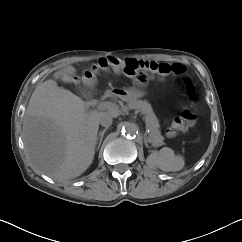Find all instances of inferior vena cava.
<instances>
[{"mask_svg": "<svg viewBox=\"0 0 242 242\" xmlns=\"http://www.w3.org/2000/svg\"><path fill=\"white\" fill-rule=\"evenodd\" d=\"M113 117L108 112H104L100 115L99 122L103 127H109L112 124Z\"/></svg>", "mask_w": 242, "mask_h": 242, "instance_id": "inferior-vena-cava-1", "label": "inferior vena cava"}]
</instances>
